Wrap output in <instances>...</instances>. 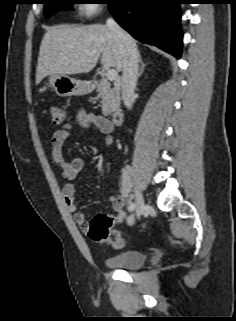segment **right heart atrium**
Here are the masks:
<instances>
[{"mask_svg":"<svg viewBox=\"0 0 236 321\" xmlns=\"http://www.w3.org/2000/svg\"><path fill=\"white\" fill-rule=\"evenodd\" d=\"M104 5L98 3L96 0H86L80 8V11L83 16L87 18H92L98 14H100L103 9Z\"/></svg>","mask_w":236,"mask_h":321,"instance_id":"1","label":"right heart atrium"}]
</instances>
